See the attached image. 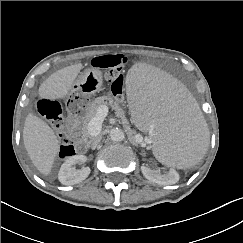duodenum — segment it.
Here are the masks:
<instances>
[{
	"label": "duodenum",
	"instance_id": "duodenum-1",
	"mask_svg": "<svg viewBox=\"0 0 243 243\" xmlns=\"http://www.w3.org/2000/svg\"><path fill=\"white\" fill-rule=\"evenodd\" d=\"M77 122L75 120H73L72 123L68 124V130L69 133L72 135V136H76L77 135ZM87 140L86 139H78L77 140V147L80 151H84L86 148H87Z\"/></svg>",
	"mask_w": 243,
	"mask_h": 243
}]
</instances>
